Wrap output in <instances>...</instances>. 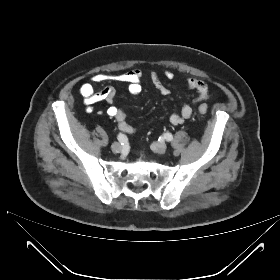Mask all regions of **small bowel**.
Returning <instances> with one entry per match:
<instances>
[{
  "label": "small bowel",
  "mask_w": 280,
  "mask_h": 280,
  "mask_svg": "<svg viewBox=\"0 0 280 280\" xmlns=\"http://www.w3.org/2000/svg\"><path fill=\"white\" fill-rule=\"evenodd\" d=\"M142 76L143 73L140 69H131L120 73L95 74L92 77V80L94 82L114 81L126 83L128 85L129 93L137 95L142 89ZM163 76L165 79L171 80L174 77V74L171 70L166 69L163 72ZM150 79L161 95L167 96L170 94V89L164 85L157 73H151ZM186 85L188 89L195 91L197 96L193 103H183L179 113H172L170 115L169 120L174 125L182 124L190 119L193 114V104L202 103L210 97L208 85L204 81L190 77L187 79ZM79 92L83 97V103L87 106L88 111H92V106L101 101H106L111 104L116 95V90L113 86L108 85L103 89L96 91L94 86L89 82L81 84ZM107 113L116 120L120 131L129 135L134 133V129L127 122L126 114L122 109L110 105L107 109Z\"/></svg>",
  "instance_id": "1"
}]
</instances>
